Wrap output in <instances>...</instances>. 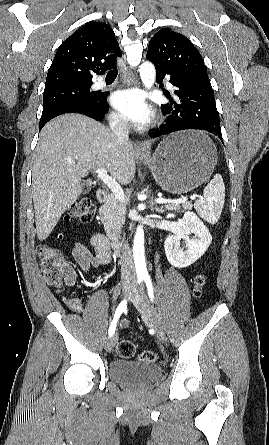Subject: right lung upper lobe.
<instances>
[{"label":"right lung upper lobe","instance_id":"1","mask_svg":"<svg viewBox=\"0 0 269 445\" xmlns=\"http://www.w3.org/2000/svg\"><path fill=\"white\" fill-rule=\"evenodd\" d=\"M122 52L112 28L89 22L69 36L58 48L48 70L45 89L92 84L91 71L104 74L116 69Z\"/></svg>","mask_w":269,"mask_h":445}]
</instances>
